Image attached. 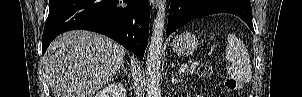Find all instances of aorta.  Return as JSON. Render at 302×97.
<instances>
[{
	"label": "aorta",
	"instance_id": "obj_1",
	"mask_svg": "<svg viewBox=\"0 0 302 97\" xmlns=\"http://www.w3.org/2000/svg\"><path fill=\"white\" fill-rule=\"evenodd\" d=\"M165 0H160L157 15L153 24V33L149 42L146 60L147 97H160L161 50L165 30Z\"/></svg>",
	"mask_w": 302,
	"mask_h": 97
}]
</instances>
